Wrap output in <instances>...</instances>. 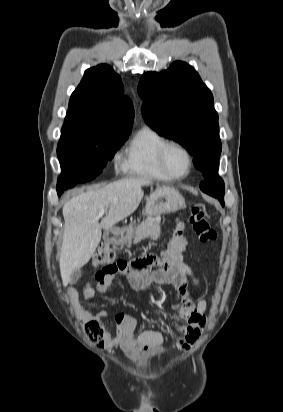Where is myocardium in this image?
Returning <instances> with one entry per match:
<instances>
[{"label": "myocardium", "mask_w": 283, "mask_h": 412, "mask_svg": "<svg viewBox=\"0 0 283 412\" xmlns=\"http://www.w3.org/2000/svg\"><path fill=\"white\" fill-rule=\"evenodd\" d=\"M173 148H178L182 150L187 156L188 168L186 172L183 174H175L171 172L169 168L167 167V163H166L167 155H168V152ZM158 165H159L160 170L162 171V173L164 174L166 178L175 179V180L183 179L187 177L193 169V165H194L193 154L186 145L180 142H177V141H168L167 143L163 145V147L161 148L159 152Z\"/></svg>", "instance_id": "1"}]
</instances>
